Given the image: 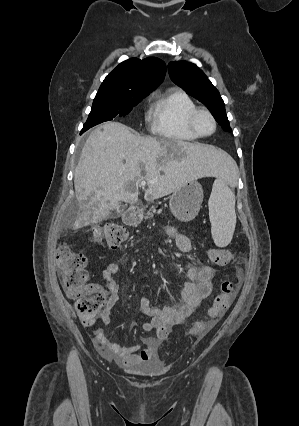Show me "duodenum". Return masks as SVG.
<instances>
[{"mask_svg": "<svg viewBox=\"0 0 299 426\" xmlns=\"http://www.w3.org/2000/svg\"><path fill=\"white\" fill-rule=\"evenodd\" d=\"M136 219H137V211L135 208L129 209L124 215V220L128 224H133L136 221Z\"/></svg>", "mask_w": 299, "mask_h": 426, "instance_id": "obj_1", "label": "duodenum"}]
</instances>
